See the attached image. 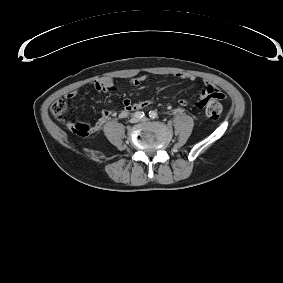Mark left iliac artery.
Masks as SVG:
<instances>
[{
    "label": "left iliac artery",
    "instance_id": "44dca946",
    "mask_svg": "<svg viewBox=\"0 0 283 283\" xmlns=\"http://www.w3.org/2000/svg\"><path fill=\"white\" fill-rule=\"evenodd\" d=\"M149 117H150L151 119H156V118L158 117V114H157V112H155V111H150V112H149Z\"/></svg>",
    "mask_w": 283,
    "mask_h": 283
}]
</instances>
